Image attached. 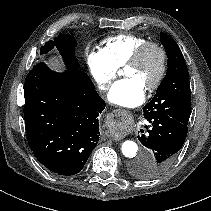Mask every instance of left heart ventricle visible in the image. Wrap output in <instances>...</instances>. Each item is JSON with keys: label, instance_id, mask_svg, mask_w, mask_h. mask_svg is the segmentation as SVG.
<instances>
[{"label": "left heart ventricle", "instance_id": "1", "mask_svg": "<svg viewBox=\"0 0 211 211\" xmlns=\"http://www.w3.org/2000/svg\"><path fill=\"white\" fill-rule=\"evenodd\" d=\"M160 56L156 50H149L140 62L124 68L126 77L136 78L145 88H147L159 72Z\"/></svg>", "mask_w": 211, "mask_h": 211}]
</instances>
